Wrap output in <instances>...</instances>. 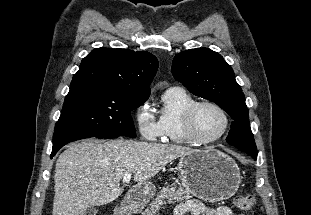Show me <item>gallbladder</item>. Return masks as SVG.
Listing matches in <instances>:
<instances>
[{
    "mask_svg": "<svg viewBox=\"0 0 311 215\" xmlns=\"http://www.w3.org/2000/svg\"><path fill=\"white\" fill-rule=\"evenodd\" d=\"M98 212V210L94 207L89 208L88 210H86L83 215H96Z\"/></svg>",
    "mask_w": 311,
    "mask_h": 215,
    "instance_id": "1",
    "label": "gallbladder"
}]
</instances>
